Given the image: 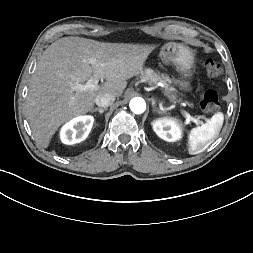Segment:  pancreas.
Listing matches in <instances>:
<instances>
[{"instance_id": "pancreas-1", "label": "pancreas", "mask_w": 253, "mask_h": 253, "mask_svg": "<svg viewBox=\"0 0 253 253\" xmlns=\"http://www.w3.org/2000/svg\"><path fill=\"white\" fill-rule=\"evenodd\" d=\"M140 79L148 82L150 86L156 87L158 83H162L165 95L173 102L177 101V90L171 86L172 79L167 74L160 73L151 68L141 70Z\"/></svg>"}]
</instances>
